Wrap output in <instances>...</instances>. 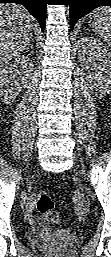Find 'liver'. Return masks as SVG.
Returning <instances> with one entry per match:
<instances>
[{"instance_id":"1","label":"liver","mask_w":111,"mask_h":257,"mask_svg":"<svg viewBox=\"0 0 111 257\" xmlns=\"http://www.w3.org/2000/svg\"><path fill=\"white\" fill-rule=\"evenodd\" d=\"M34 18L21 5H0V64L7 65L28 45L32 37Z\"/></svg>"}]
</instances>
